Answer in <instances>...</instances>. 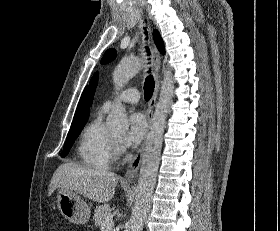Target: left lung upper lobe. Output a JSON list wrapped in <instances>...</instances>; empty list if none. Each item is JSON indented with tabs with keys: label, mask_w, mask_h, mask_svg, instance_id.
Listing matches in <instances>:
<instances>
[{
	"label": "left lung upper lobe",
	"mask_w": 280,
	"mask_h": 231,
	"mask_svg": "<svg viewBox=\"0 0 280 231\" xmlns=\"http://www.w3.org/2000/svg\"><path fill=\"white\" fill-rule=\"evenodd\" d=\"M154 39H155V43H156L159 51L161 53H164V47H163L162 39H161L159 33L156 30L154 31ZM115 57H116V51L114 49H109V50H107L105 52V54H104V56H103V58L101 60V63L102 64L108 63L111 60H114ZM97 81H98V75H97V73H95V75L92 77V79L90 81V94H89V97H90L91 101H92L94 93H95V88L97 86Z\"/></svg>",
	"instance_id": "1"
}]
</instances>
